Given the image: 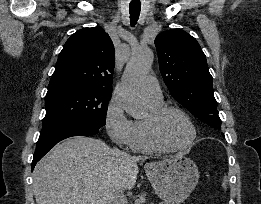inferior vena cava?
Listing matches in <instances>:
<instances>
[{"label":"inferior vena cava","instance_id":"obj_1","mask_svg":"<svg viewBox=\"0 0 261 204\" xmlns=\"http://www.w3.org/2000/svg\"><path fill=\"white\" fill-rule=\"evenodd\" d=\"M109 204H126V197L122 187H116L110 191Z\"/></svg>","mask_w":261,"mask_h":204}]
</instances>
